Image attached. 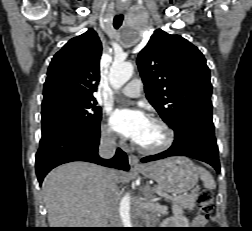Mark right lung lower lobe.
I'll use <instances>...</instances> for the list:
<instances>
[{
	"mask_svg": "<svg viewBox=\"0 0 252 231\" xmlns=\"http://www.w3.org/2000/svg\"><path fill=\"white\" fill-rule=\"evenodd\" d=\"M100 130H82L63 127L42 135L36 154V174L40 184L45 175L54 167L72 161H87L99 165L127 171L126 154L117 149L112 159H102L98 155Z\"/></svg>",
	"mask_w": 252,
	"mask_h": 231,
	"instance_id": "98d812e1",
	"label": "right lung lower lobe"
}]
</instances>
